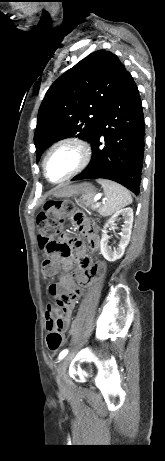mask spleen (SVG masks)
Masks as SVG:
<instances>
[{
	"mask_svg": "<svg viewBox=\"0 0 165 461\" xmlns=\"http://www.w3.org/2000/svg\"><path fill=\"white\" fill-rule=\"evenodd\" d=\"M97 182L102 185L105 193V200L99 208V213L102 216H109L132 203L130 192L120 184L103 179H99Z\"/></svg>",
	"mask_w": 165,
	"mask_h": 461,
	"instance_id": "3e777b00",
	"label": "spleen"
}]
</instances>
